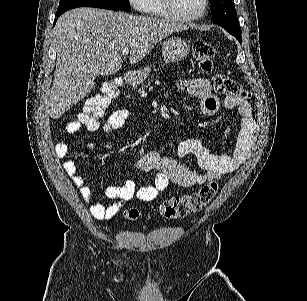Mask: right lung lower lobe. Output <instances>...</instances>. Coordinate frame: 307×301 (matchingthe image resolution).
<instances>
[{
    "label": "right lung lower lobe",
    "mask_w": 307,
    "mask_h": 301,
    "mask_svg": "<svg viewBox=\"0 0 307 301\" xmlns=\"http://www.w3.org/2000/svg\"><path fill=\"white\" fill-rule=\"evenodd\" d=\"M115 11V10H114ZM61 15V14H60ZM60 15H57V18L54 20V24L56 23V21H57V19H58V17L60 16Z\"/></svg>",
    "instance_id": "98d812e1"
}]
</instances>
